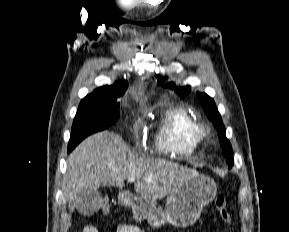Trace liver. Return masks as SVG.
Returning a JSON list of instances; mask_svg holds the SVG:
<instances>
[{"instance_id": "6515ba94", "label": "liver", "mask_w": 289, "mask_h": 232, "mask_svg": "<svg viewBox=\"0 0 289 232\" xmlns=\"http://www.w3.org/2000/svg\"><path fill=\"white\" fill-rule=\"evenodd\" d=\"M127 152L124 140L108 131L91 135L71 152L66 173L70 212L77 207L82 193L100 186L121 188L126 179L134 177L136 193L156 200L171 195L197 173L163 159L127 158Z\"/></svg>"}]
</instances>
